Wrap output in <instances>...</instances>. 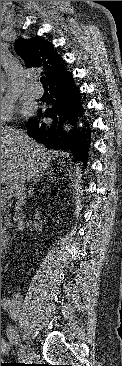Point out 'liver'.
Segmentation results:
<instances>
[{
	"label": "liver",
	"mask_w": 122,
	"mask_h": 366,
	"mask_svg": "<svg viewBox=\"0 0 122 366\" xmlns=\"http://www.w3.org/2000/svg\"><path fill=\"white\" fill-rule=\"evenodd\" d=\"M58 155L21 130L1 127V184L15 196L22 178L30 181L41 177Z\"/></svg>",
	"instance_id": "6515ba94"
}]
</instances>
